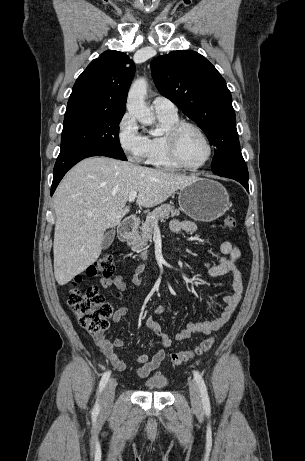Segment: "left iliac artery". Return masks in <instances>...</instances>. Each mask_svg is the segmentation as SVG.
Wrapping results in <instances>:
<instances>
[{"label":"left iliac artery","instance_id":"1","mask_svg":"<svg viewBox=\"0 0 305 461\" xmlns=\"http://www.w3.org/2000/svg\"><path fill=\"white\" fill-rule=\"evenodd\" d=\"M193 375H194V379L196 380V382H197V384L199 386L200 392H201L203 408H204L206 414L209 415L210 412H211V408H210V401H209V396H208V392H207V387H206L205 382H204V380H203V378H202V376L200 375L199 372L194 371Z\"/></svg>","mask_w":305,"mask_h":461}]
</instances>
